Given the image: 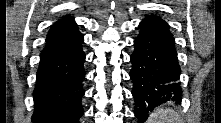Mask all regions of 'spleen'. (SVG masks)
Listing matches in <instances>:
<instances>
[{
    "label": "spleen",
    "mask_w": 221,
    "mask_h": 123,
    "mask_svg": "<svg viewBox=\"0 0 221 123\" xmlns=\"http://www.w3.org/2000/svg\"><path fill=\"white\" fill-rule=\"evenodd\" d=\"M179 115L171 108H156L149 116L147 123H179Z\"/></svg>",
    "instance_id": "spleen-1"
}]
</instances>
